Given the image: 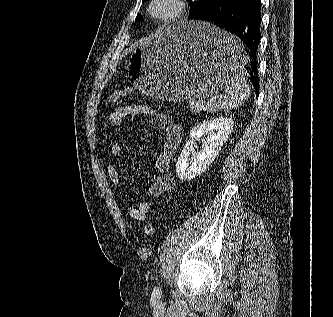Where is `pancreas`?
I'll return each mask as SVG.
<instances>
[{
    "label": "pancreas",
    "mask_w": 333,
    "mask_h": 317,
    "mask_svg": "<svg viewBox=\"0 0 333 317\" xmlns=\"http://www.w3.org/2000/svg\"><path fill=\"white\" fill-rule=\"evenodd\" d=\"M213 109V105L212 104H208V103H202L200 102L199 105H193L190 106V110L194 111V112H201V111H209Z\"/></svg>",
    "instance_id": "1"
}]
</instances>
